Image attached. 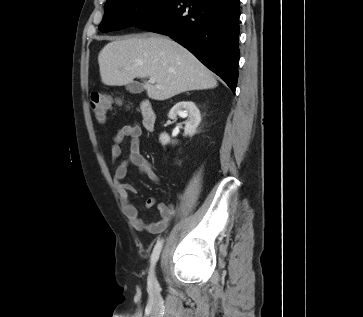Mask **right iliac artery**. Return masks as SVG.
I'll list each match as a JSON object with an SVG mask.
<instances>
[{
	"label": "right iliac artery",
	"mask_w": 363,
	"mask_h": 317,
	"mask_svg": "<svg viewBox=\"0 0 363 317\" xmlns=\"http://www.w3.org/2000/svg\"><path fill=\"white\" fill-rule=\"evenodd\" d=\"M162 245H163V240H158L154 249H153V253L151 255V268H150V277H149V280L151 282L152 278L154 277V267H155V264L159 258V254L161 252V249H162Z\"/></svg>",
	"instance_id": "1"
}]
</instances>
